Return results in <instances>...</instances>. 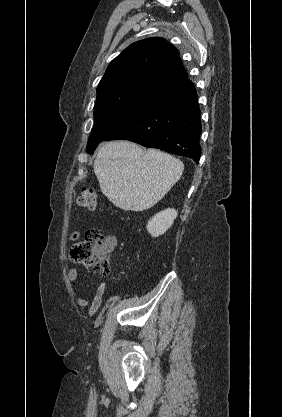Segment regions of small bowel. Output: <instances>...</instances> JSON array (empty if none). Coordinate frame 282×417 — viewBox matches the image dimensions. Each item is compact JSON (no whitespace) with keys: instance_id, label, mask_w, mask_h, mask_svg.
Returning <instances> with one entry per match:
<instances>
[{"instance_id":"obj_1","label":"small bowel","mask_w":282,"mask_h":417,"mask_svg":"<svg viewBox=\"0 0 282 417\" xmlns=\"http://www.w3.org/2000/svg\"><path fill=\"white\" fill-rule=\"evenodd\" d=\"M79 237H80V230L76 229L71 233L70 241H75ZM106 241H107V245L109 249H113L116 246L117 241L115 237L107 236ZM67 275H68V279L73 282L77 280L79 276V271L76 268H71L68 271ZM106 290H107V283L104 281L100 282L96 289V293L91 301L86 297H82V296L77 297L76 301H77L78 306L82 308L89 307L88 314L90 316L95 315L102 305L103 295Z\"/></svg>"}]
</instances>
